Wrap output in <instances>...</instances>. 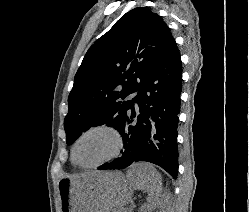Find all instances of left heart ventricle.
Instances as JSON below:
<instances>
[{
  "mask_svg": "<svg viewBox=\"0 0 249 212\" xmlns=\"http://www.w3.org/2000/svg\"><path fill=\"white\" fill-rule=\"evenodd\" d=\"M116 149V140L108 132L87 135L78 145L76 157L84 165L96 164L109 157Z\"/></svg>",
  "mask_w": 249,
  "mask_h": 212,
  "instance_id": "left-heart-ventricle-1",
  "label": "left heart ventricle"
}]
</instances>
